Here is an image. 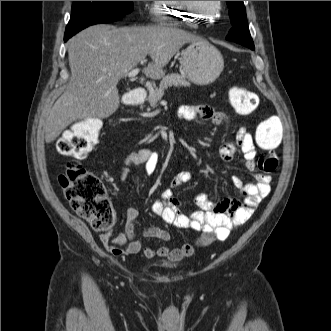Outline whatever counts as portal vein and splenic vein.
Wrapping results in <instances>:
<instances>
[{
    "instance_id": "18ae733b",
    "label": "portal vein and splenic vein",
    "mask_w": 331,
    "mask_h": 331,
    "mask_svg": "<svg viewBox=\"0 0 331 331\" xmlns=\"http://www.w3.org/2000/svg\"><path fill=\"white\" fill-rule=\"evenodd\" d=\"M139 69L138 68H136V69H133V70H131L130 72H128L127 74H126V76H128V77H130V78H133V77H135L138 73H139Z\"/></svg>"
}]
</instances>
